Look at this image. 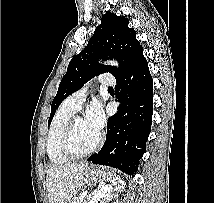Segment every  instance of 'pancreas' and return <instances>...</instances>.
I'll return each instance as SVG.
<instances>
[{"mask_svg": "<svg viewBox=\"0 0 214 203\" xmlns=\"http://www.w3.org/2000/svg\"><path fill=\"white\" fill-rule=\"evenodd\" d=\"M104 199V198H103ZM102 199V200H103ZM90 201H89V199H88V197H87V200H85V199H82V200H80V199H78V198H74L72 201H71V203H89Z\"/></svg>", "mask_w": 214, "mask_h": 203, "instance_id": "pancreas-1", "label": "pancreas"}]
</instances>
